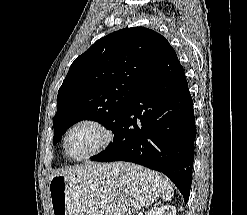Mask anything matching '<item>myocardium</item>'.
Returning <instances> with one entry per match:
<instances>
[{"label": "myocardium", "instance_id": "obj_1", "mask_svg": "<svg viewBox=\"0 0 247 215\" xmlns=\"http://www.w3.org/2000/svg\"><path fill=\"white\" fill-rule=\"evenodd\" d=\"M81 125L93 126L101 133L102 139H101V142L98 144V146L93 151H91L90 153L84 156L75 157L69 153L68 148H67V141H68V137L71 134V132ZM112 141H113V132L105 123H103L101 120L96 119V118L85 117V118L78 119L77 121L72 123L69 126V128L66 130L64 137H63V149L65 151V154L70 159L75 160V161H83V160H87V159L93 158L101 154L111 145Z\"/></svg>", "mask_w": 247, "mask_h": 215}]
</instances>
